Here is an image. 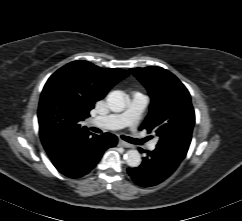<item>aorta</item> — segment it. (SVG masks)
<instances>
[{
	"instance_id": "obj_1",
	"label": "aorta",
	"mask_w": 242,
	"mask_h": 221,
	"mask_svg": "<svg viewBox=\"0 0 242 221\" xmlns=\"http://www.w3.org/2000/svg\"><path fill=\"white\" fill-rule=\"evenodd\" d=\"M107 104L111 111L121 112L125 109L127 100L122 91H112L107 95ZM125 162L130 167H138L141 164V156L138 150H128L124 156Z\"/></svg>"
}]
</instances>
